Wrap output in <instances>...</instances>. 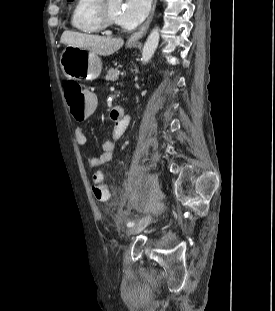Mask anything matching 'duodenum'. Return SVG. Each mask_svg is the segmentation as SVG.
Segmentation results:
<instances>
[{
  "label": "duodenum",
  "mask_w": 275,
  "mask_h": 311,
  "mask_svg": "<svg viewBox=\"0 0 275 311\" xmlns=\"http://www.w3.org/2000/svg\"><path fill=\"white\" fill-rule=\"evenodd\" d=\"M115 110H124L122 107H120V106H117V107H115L114 108Z\"/></svg>",
  "instance_id": "1"
}]
</instances>
